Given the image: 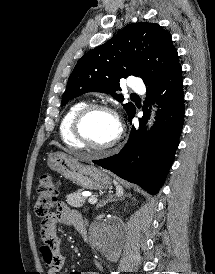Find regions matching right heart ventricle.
Listing matches in <instances>:
<instances>
[{
    "label": "right heart ventricle",
    "mask_w": 215,
    "mask_h": 274,
    "mask_svg": "<svg viewBox=\"0 0 215 274\" xmlns=\"http://www.w3.org/2000/svg\"><path fill=\"white\" fill-rule=\"evenodd\" d=\"M87 105L85 101H78L72 104L63 115L60 125L59 134L65 145L75 149H81L83 146L76 140L72 132V123L76 114Z\"/></svg>",
    "instance_id": "e07e8e85"
}]
</instances>
